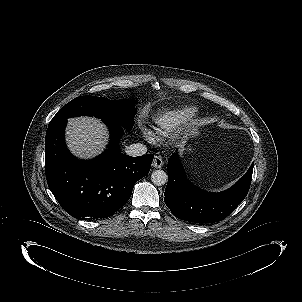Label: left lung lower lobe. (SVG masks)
I'll use <instances>...</instances> for the list:
<instances>
[{"label":"left lung lower lobe","mask_w":302,"mask_h":302,"mask_svg":"<svg viewBox=\"0 0 302 302\" xmlns=\"http://www.w3.org/2000/svg\"><path fill=\"white\" fill-rule=\"evenodd\" d=\"M254 163L231 188L220 193L203 191L186 179L176 153L168 160V184L164 201L179 219L195 223H212L225 219L246 197Z\"/></svg>","instance_id":"0a47b994"}]
</instances>
